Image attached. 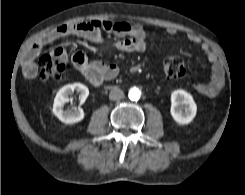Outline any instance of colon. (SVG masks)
I'll list each match as a JSON object with an SVG mask.
<instances>
[{
	"instance_id": "obj_1",
	"label": "colon",
	"mask_w": 245,
	"mask_h": 195,
	"mask_svg": "<svg viewBox=\"0 0 245 195\" xmlns=\"http://www.w3.org/2000/svg\"><path fill=\"white\" fill-rule=\"evenodd\" d=\"M40 78L44 82L61 81L65 73L64 60L44 55L39 59ZM164 73L169 79H179L185 74V65L179 56L168 57L163 64Z\"/></svg>"
}]
</instances>
